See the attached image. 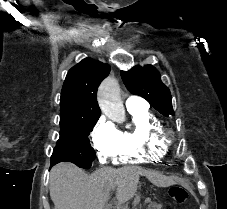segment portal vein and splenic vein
Wrapping results in <instances>:
<instances>
[{
    "label": "portal vein and splenic vein",
    "mask_w": 227,
    "mask_h": 209,
    "mask_svg": "<svg viewBox=\"0 0 227 209\" xmlns=\"http://www.w3.org/2000/svg\"><path fill=\"white\" fill-rule=\"evenodd\" d=\"M151 199H152L151 197H150V198H149V197H146V198H145V202L147 203V202H149Z\"/></svg>",
    "instance_id": "obj_1"
}]
</instances>
